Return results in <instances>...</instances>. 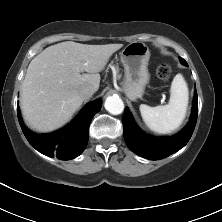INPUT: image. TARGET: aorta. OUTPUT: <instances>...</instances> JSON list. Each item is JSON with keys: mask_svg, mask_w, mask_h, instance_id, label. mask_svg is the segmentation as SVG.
<instances>
[{"mask_svg": "<svg viewBox=\"0 0 222 222\" xmlns=\"http://www.w3.org/2000/svg\"><path fill=\"white\" fill-rule=\"evenodd\" d=\"M105 109L111 114L118 115L124 110V103L119 96H109L105 101Z\"/></svg>", "mask_w": 222, "mask_h": 222, "instance_id": "762f6f07", "label": "aorta"}]
</instances>
